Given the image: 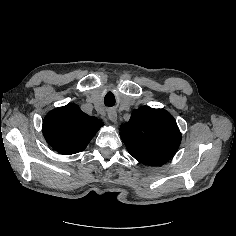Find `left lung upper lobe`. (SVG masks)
I'll list each match as a JSON object with an SVG mask.
<instances>
[{
	"mask_svg": "<svg viewBox=\"0 0 236 236\" xmlns=\"http://www.w3.org/2000/svg\"><path fill=\"white\" fill-rule=\"evenodd\" d=\"M130 155L145 165L160 166L177 151L181 134L173 116L164 109L142 106L120 127Z\"/></svg>",
	"mask_w": 236,
	"mask_h": 236,
	"instance_id": "5c2ea615",
	"label": "left lung upper lobe"
}]
</instances>
